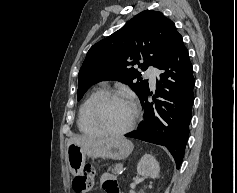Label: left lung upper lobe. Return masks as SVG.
Wrapping results in <instances>:
<instances>
[{
	"label": "left lung upper lobe",
	"mask_w": 237,
	"mask_h": 193,
	"mask_svg": "<svg viewBox=\"0 0 237 193\" xmlns=\"http://www.w3.org/2000/svg\"><path fill=\"white\" fill-rule=\"evenodd\" d=\"M181 38L174 23L161 12L139 13L89 49L79 72L77 99L94 83L118 80L130 85L141 100L149 89L148 81L132 66L138 64L141 70L158 67Z\"/></svg>",
	"instance_id": "obj_1"
}]
</instances>
